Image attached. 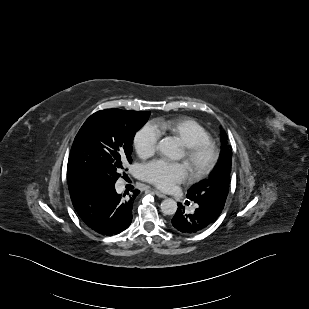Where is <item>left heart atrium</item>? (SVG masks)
<instances>
[{
    "mask_svg": "<svg viewBox=\"0 0 309 309\" xmlns=\"http://www.w3.org/2000/svg\"><path fill=\"white\" fill-rule=\"evenodd\" d=\"M139 175L157 188L169 191L187 178L188 168L184 163L157 159L141 165Z\"/></svg>",
    "mask_w": 309,
    "mask_h": 309,
    "instance_id": "39dd6f15",
    "label": "left heart atrium"
}]
</instances>
